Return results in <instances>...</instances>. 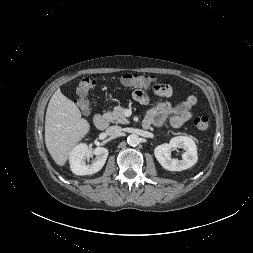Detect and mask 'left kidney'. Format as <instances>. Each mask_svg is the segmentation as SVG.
Here are the masks:
<instances>
[{
    "label": "left kidney",
    "mask_w": 253,
    "mask_h": 253,
    "mask_svg": "<svg viewBox=\"0 0 253 253\" xmlns=\"http://www.w3.org/2000/svg\"><path fill=\"white\" fill-rule=\"evenodd\" d=\"M183 148L185 152L182 159H173L170 157L172 149ZM154 155L163 168L169 171L186 170L196 164L198 160L197 146L195 142L188 136H177L170 142L157 146Z\"/></svg>",
    "instance_id": "5707ae66"
}]
</instances>
